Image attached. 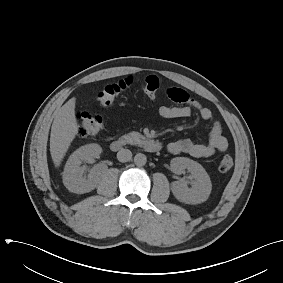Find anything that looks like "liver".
Here are the masks:
<instances>
[{
	"instance_id": "6515ba94",
	"label": "liver",
	"mask_w": 283,
	"mask_h": 283,
	"mask_svg": "<svg viewBox=\"0 0 283 283\" xmlns=\"http://www.w3.org/2000/svg\"><path fill=\"white\" fill-rule=\"evenodd\" d=\"M73 97L54 114L50 135V153L55 167H59L71 142L78 134Z\"/></svg>"
}]
</instances>
